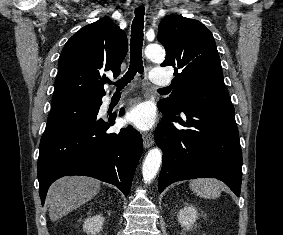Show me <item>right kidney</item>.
Here are the masks:
<instances>
[{
  "mask_svg": "<svg viewBox=\"0 0 283 235\" xmlns=\"http://www.w3.org/2000/svg\"><path fill=\"white\" fill-rule=\"evenodd\" d=\"M104 218L102 215L88 217L83 224V230L87 234L96 235L102 230Z\"/></svg>",
  "mask_w": 283,
  "mask_h": 235,
  "instance_id": "1",
  "label": "right kidney"
}]
</instances>
